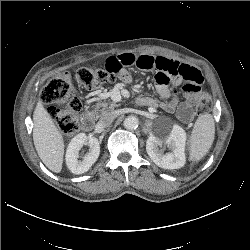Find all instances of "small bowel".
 <instances>
[{
	"mask_svg": "<svg viewBox=\"0 0 250 250\" xmlns=\"http://www.w3.org/2000/svg\"><path fill=\"white\" fill-rule=\"evenodd\" d=\"M133 65L144 71H155V85L163 99L160 102L163 109L170 112L176 111L177 117L183 123H189L193 119V104L197 100L203 83V76L197 68L162 56L133 53L108 58L105 68L117 72L122 81L127 83L131 80V76L125 68ZM183 82L185 99L179 103L175 87ZM142 102L148 105L156 104V101L151 98L143 99Z\"/></svg>",
	"mask_w": 250,
	"mask_h": 250,
	"instance_id": "obj_1",
	"label": "small bowel"
}]
</instances>
